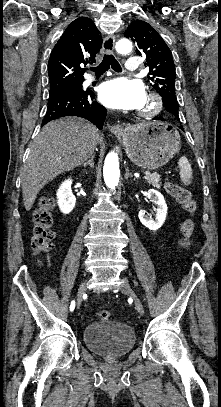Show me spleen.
<instances>
[{
  "mask_svg": "<svg viewBox=\"0 0 221 407\" xmlns=\"http://www.w3.org/2000/svg\"><path fill=\"white\" fill-rule=\"evenodd\" d=\"M178 167L180 169V179L184 185H190L192 182V168L188 159L183 156L178 161Z\"/></svg>",
  "mask_w": 221,
  "mask_h": 407,
  "instance_id": "spleen-1",
  "label": "spleen"
}]
</instances>
